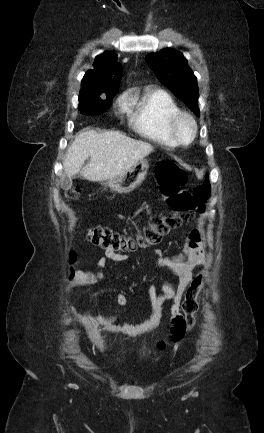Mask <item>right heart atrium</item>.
Returning <instances> with one entry per match:
<instances>
[{
	"label": "right heart atrium",
	"instance_id": "d8ad5b80",
	"mask_svg": "<svg viewBox=\"0 0 264 433\" xmlns=\"http://www.w3.org/2000/svg\"><path fill=\"white\" fill-rule=\"evenodd\" d=\"M117 105L120 109L126 108V98L124 96H121L117 101Z\"/></svg>",
	"mask_w": 264,
	"mask_h": 433
}]
</instances>
